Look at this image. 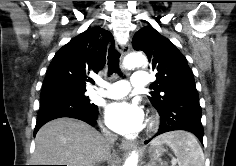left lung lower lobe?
Masks as SVG:
<instances>
[{
  "label": "left lung lower lobe",
  "instance_id": "obj_1",
  "mask_svg": "<svg viewBox=\"0 0 236 166\" xmlns=\"http://www.w3.org/2000/svg\"><path fill=\"white\" fill-rule=\"evenodd\" d=\"M158 112L161 116V123L155 136L169 131L185 130L193 133L203 144L204 130L201 123L202 111L198 96H189L186 100ZM149 141L145 143L147 144Z\"/></svg>",
  "mask_w": 236,
  "mask_h": 166
}]
</instances>
